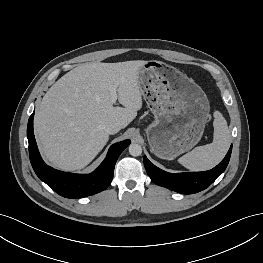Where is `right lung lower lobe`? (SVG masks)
<instances>
[{
	"label": "right lung lower lobe",
	"mask_w": 263,
	"mask_h": 263,
	"mask_svg": "<svg viewBox=\"0 0 263 263\" xmlns=\"http://www.w3.org/2000/svg\"><path fill=\"white\" fill-rule=\"evenodd\" d=\"M33 117L30 116L27 126L29 156L37 176L59 195L66 198H83L105 190L111 183L115 163L130 140L112 145L101 165L87 175L61 172L47 166L42 160L33 131Z\"/></svg>",
	"instance_id": "98d812e1"
}]
</instances>
